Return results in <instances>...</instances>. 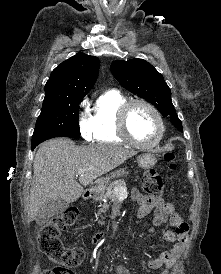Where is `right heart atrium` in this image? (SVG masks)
<instances>
[{
    "mask_svg": "<svg viewBox=\"0 0 221 274\" xmlns=\"http://www.w3.org/2000/svg\"><path fill=\"white\" fill-rule=\"evenodd\" d=\"M86 108H87V101L85 100L81 103L82 112L79 118V130L82 137L85 140L90 141L93 138V123H92V117L89 115Z\"/></svg>",
    "mask_w": 221,
    "mask_h": 274,
    "instance_id": "d8ad5b80",
    "label": "right heart atrium"
}]
</instances>
